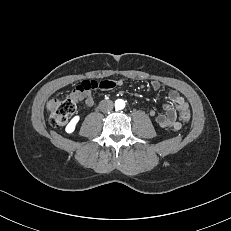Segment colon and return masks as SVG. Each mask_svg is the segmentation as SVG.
<instances>
[{
	"instance_id": "5ec220e1",
	"label": "colon",
	"mask_w": 231,
	"mask_h": 231,
	"mask_svg": "<svg viewBox=\"0 0 231 231\" xmlns=\"http://www.w3.org/2000/svg\"><path fill=\"white\" fill-rule=\"evenodd\" d=\"M47 110L51 125L55 127L63 126L76 111V99L72 95L65 98H53L48 101ZM190 117L189 109H184L180 113V118L183 122H188Z\"/></svg>"
}]
</instances>
